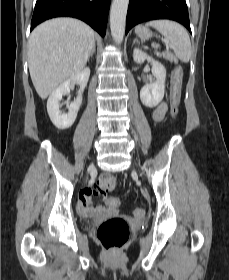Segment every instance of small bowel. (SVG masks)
I'll return each mask as SVG.
<instances>
[{"label": "small bowel", "mask_w": 229, "mask_h": 280, "mask_svg": "<svg viewBox=\"0 0 229 280\" xmlns=\"http://www.w3.org/2000/svg\"><path fill=\"white\" fill-rule=\"evenodd\" d=\"M167 113V104L165 102L160 103L152 112V119L155 122L161 121L165 114ZM110 189H101L96 184H94L92 187L85 189L82 192V195L80 196L79 202H78V213L82 217H88V216H104V215H112L117 213V208L114 204V200L116 197L108 196L107 192ZM102 193L104 196V202L105 206H98L93 208L91 206V197L93 195H96L98 193Z\"/></svg>", "instance_id": "small-bowel-1"}]
</instances>
